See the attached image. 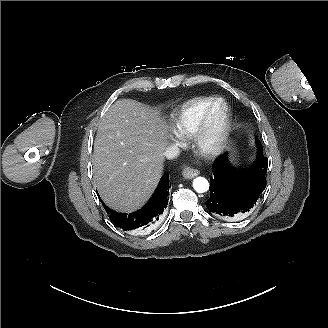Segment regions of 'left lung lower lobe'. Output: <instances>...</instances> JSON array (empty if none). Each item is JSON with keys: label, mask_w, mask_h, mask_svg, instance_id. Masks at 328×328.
Here are the masks:
<instances>
[{"label": "left lung lower lobe", "mask_w": 328, "mask_h": 328, "mask_svg": "<svg viewBox=\"0 0 328 328\" xmlns=\"http://www.w3.org/2000/svg\"><path fill=\"white\" fill-rule=\"evenodd\" d=\"M256 144V159L249 167L232 166L227 153L214 161L206 207L215 215L223 219L246 215L264 191L268 159L263 156L261 143L256 140Z\"/></svg>", "instance_id": "0a47b994"}]
</instances>
